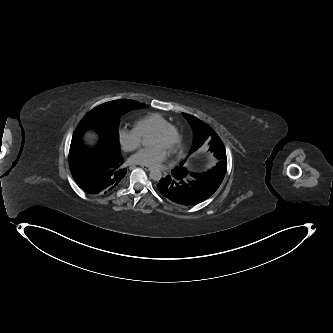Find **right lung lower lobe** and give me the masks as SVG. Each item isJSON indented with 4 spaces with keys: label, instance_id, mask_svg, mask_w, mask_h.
<instances>
[{
    "label": "right lung lower lobe",
    "instance_id": "1",
    "mask_svg": "<svg viewBox=\"0 0 333 333\" xmlns=\"http://www.w3.org/2000/svg\"><path fill=\"white\" fill-rule=\"evenodd\" d=\"M120 154L100 145L95 150L85 149L80 140H72L69 165L77 184L88 194L103 195L115 190L127 170Z\"/></svg>",
    "mask_w": 333,
    "mask_h": 333
}]
</instances>
